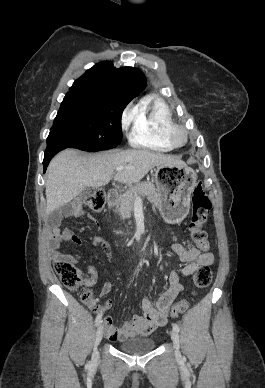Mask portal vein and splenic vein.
Segmentation results:
<instances>
[{"label":"portal vein and splenic vein","mask_w":265,"mask_h":388,"mask_svg":"<svg viewBox=\"0 0 265 388\" xmlns=\"http://www.w3.org/2000/svg\"><path fill=\"white\" fill-rule=\"evenodd\" d=\"M122 170H135L134 166H119L116 168V172H122ZM136 200H140L139 196H137Z\"/></svg>","instance_id":"portal-vein-and-splenic-vein-1"}]
</instances>
